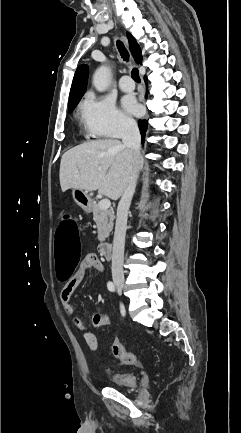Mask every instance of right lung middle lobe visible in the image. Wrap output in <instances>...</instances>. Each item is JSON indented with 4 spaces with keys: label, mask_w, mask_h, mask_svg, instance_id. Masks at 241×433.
<instances>
[{
    "label": "right lung middle lobe",
    "mask_w": 241,
    "mask_h": 433,
    "mask_svg": "<svg viewBox=\"0 0 241 433\" xmlns=\"http://www.w3.org/2000/svg\"><path fill=\"white\" fill-rule=\"evenodd\" d=\"M76 105H77V104H76ZM76 105H74L73 107H70V108H69V112H72L73 109L76 107Z\"/></svg>",
    "instance_id": "right-lung-middle-lobe-1"
}]
</instances>
